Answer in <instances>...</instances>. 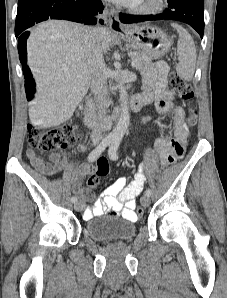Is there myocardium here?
Wrapping results in <instances>:
<instances>
[{
    "label": "myocardium",
    "mask_w": 227,
    "mask_h": 298,
    "mask_svg": "<svg viewBox=\"0 0 227 298\" xmlns=\"http://www.w3.org/2000/svg\"><path fill=\"white\" fill-rule=\"evenodd\" d=\"M164 4L165 0H153L148 4H134L130 10L139 15H154L163 10Z\"/></svg>",
    "instance_id": "obj_1"
}]
</instances>
